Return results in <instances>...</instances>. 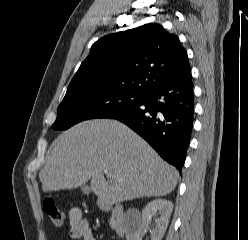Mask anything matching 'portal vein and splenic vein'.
<instances>
[{"instance_id":"18ae733b","label":"portal vein and splenic vein","mask_w":248,"mask_h":240,"mask_svg":"<svg viewBox=\"0 0 248 240\" xmlns=\"http://www.w3.org/2000/svg\"><path fill=\"white\" fill-rule=\"evenodd\" d=\"M104 173H105V174H108V171H107V170H104Z\"/></svg>"}]
</instances>
